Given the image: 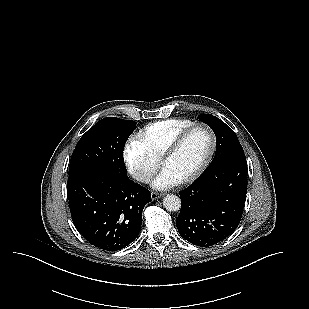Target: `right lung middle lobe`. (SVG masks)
<instances>
[{"mask_svg": "<svg viewBox=\"0 0 309 309\" xmlns=\"http://www.w3.org/2000/svg\"><path fill=\"white\" fill-rule=\"evenodd\" d=\"M136 122L115 117L98 121L78 141L71 157L69 176L86 169H98L127 178L123 150Z\"/></svg>", "mask_w": 309, "mask_h": 309, "instance_id": "1", "label": "right lung middle lobe"}]
</instances>
